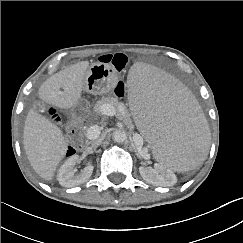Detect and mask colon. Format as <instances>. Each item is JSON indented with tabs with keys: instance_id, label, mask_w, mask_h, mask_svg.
<instances>
[{
	"instance_id": "5ec220e1",
	"label": "colon",
	"mask_w": 243,
	"mask_h": 243,
	"mask_svg": "<svg viewBox=\"0 0 243 243\" xmlns=\"http://www.w3.org/2000/svg\"><path fill=\"white\" fill-rule=\"evenodd\" d=\"M99 62L101 64H105V65H110L112 66L116 71L120 72L122 71L128 62V58L125 54L123 53H115V54H107V55H103L99 58ZM114 92L117 96H122L125 94V86L124 83L122 81H118ZM45 113L48 114L49 118L51 119H55L56 121L59 120V111L56 108H52V106L47 105L44 108ZM74 143H76V139L73 138ZM73 154V148L72 147H68L66 150V155L70 156Z\"/></svg>"
}]
</instances>
